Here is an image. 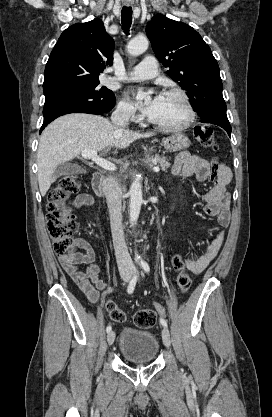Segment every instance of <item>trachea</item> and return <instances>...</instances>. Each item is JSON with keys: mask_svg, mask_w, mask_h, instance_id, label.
I'll return each mask as SVG.
<instances>
[{"mask_svg": "<svg viewBox=\"0 0 272 417\" xmlns=\"http://www.w3.org/2000/svg\"><path fill=\"white\" fill-rule=\"evenodd\" d=\"M121 21L125 34H129V28L132 24V8L123 7L121 11Z\"/></svg>", "mask_w": 272, "mask_h": 417, "instance_id": "1", "label": "trachea"}]
</instances>
